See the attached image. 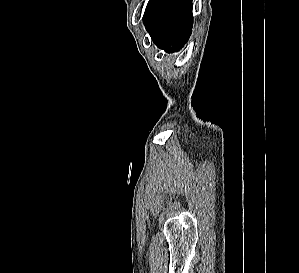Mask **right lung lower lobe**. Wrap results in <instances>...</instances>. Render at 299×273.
<instances>
[{
  "label": "right lung lower lobe",
  "instance_id": "obj_1",
  "mask_svg": "<svg viewBox=\"0 0 299 273\" xmlns=\"http://www.w3.org/2000/svg\"><path fill=\"white\" fill-rule=\"evenodd\" d=\"M143 19L159 48L178 51L192 32V0H150Z\"/></svg>",
  "mask_w": 299,
  "mask_h": 273
}]
</instances>
